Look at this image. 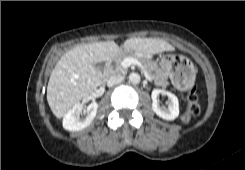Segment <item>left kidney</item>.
<instances>
[{
    "instance_id": "5707ae66",
    "label": "left kidney",
    "mask_w": 245,
    "mask_h": 170,
    "mask_svg": "<svg viewBox=\"0 0 245 170\" xmlns=\"http://www.w3.org/2000/svg\"><path fill=\"white\" fill-rule=\"evenodd\" d=\"M167 95L169 102L168 107L161 106L159 104V95ZM152 98V109L159 117L165 120H174L179 115V102L178 98L171 92L161 90V89H154L151 94Z\"/></svg>"
}]
</instances>
